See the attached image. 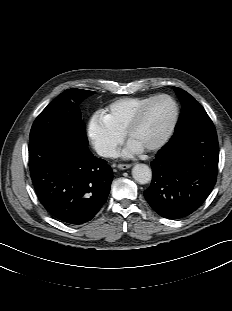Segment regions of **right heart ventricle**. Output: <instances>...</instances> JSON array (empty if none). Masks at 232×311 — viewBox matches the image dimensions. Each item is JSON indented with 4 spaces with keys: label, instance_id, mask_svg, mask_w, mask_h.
<instances>
[{
    "label": "right heart ventricle",
    "instance_id": "e07e8e85",
    "mask_svg": "<svg viewBox=\"0 0 232 311\" xmlns=\"http://www.w3.org/2000/svg\"><path fill=\"white\" fill-rule=\"evenodd\" d=\"M153 96H127L110 102L104 117L110 127L122 134L138 108Z\"/></svg>",
    "mask_w": 232,
    "mask_h": 311
}]
</instances>
